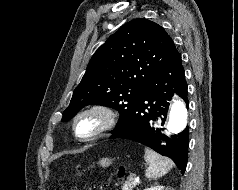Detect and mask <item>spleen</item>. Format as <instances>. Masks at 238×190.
Masks as SVG:
<instances>
[{"mask_svg":"<svg viewBox=\"0 0 238 190\" xmlns=\"http://www.w3.org/2000/svg\"><path fill=\"white\" fill-rule=\"evenodd\" d=\"M144 158L149 164V167L146 169L145 173L147 179L149 180L164 176L174 166L172 160L159 155L149 148H145Z\"/></svg>","mask_w":238,"mask_h":190,"instance_id":"obj_1","label":"spleen"}]
</instances>
